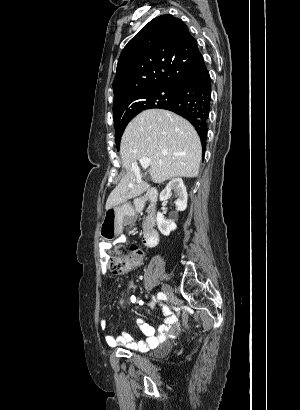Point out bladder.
<instances>
[{
  "mask_svg": "<svg viewBox=\"0 0 300 410\" xmlns=\"http://www.w3.org/2000/svg\"><path fill=\"white\" fill-rule=\"evenodd\" d=\"M173 349V344L170 341H165L161 343L158 348L155 350L157 351L159 356L168 355Z\"/></svg>",
  "mask_w": 300,
  "mask_h": 410,
  "instance_id": "31cf9c89",
  "label": "bladder"
}]
</instances>
